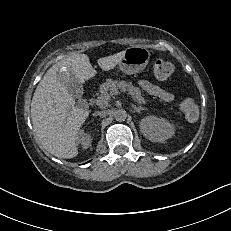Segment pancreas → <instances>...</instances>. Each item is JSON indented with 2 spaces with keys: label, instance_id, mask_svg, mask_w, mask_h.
<instances>
[{
  "label": "pancreas",
  "instance_id": "obj_1",
  "mask_svg": "<svg viewBox=\"0 0 231 231\" xmlns=\"http://www.w3.org/2000/svg\"><path fill=\"white\" fill-rule=\"evenodd\" d=\"M121 90L127 92L132 96L133 100L139 104L145 103V99L142 97V92L139 88L132 85V83H127L126 81H115L112 79H107L105 83L100 85V96H110L115 90ZM104 105H107L104 104Z\"/></svg>",
  "mask_w": 231,
  "mask_h": 231
}]
</instances>
